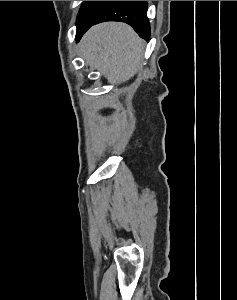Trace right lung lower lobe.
I'll return each mask as SVG.
<instances>
[{"instance_id":"1","label":"right lung lower lobe","mask_w":237,"mask_h":300,"mask_svg":"<svg viewBox=\"0 0 237 300\" xmlns=\"http://www.w3.org/2000/svg\"><path fill=\"white\" fill-rule=\"evenodd\" d=\"M105 21L125 22L132 26L142 38L148 40L150 36L147 1H115L98 20L77 31L76 40L79 41L91 26Z\"/></svg>"}]
</instances>
